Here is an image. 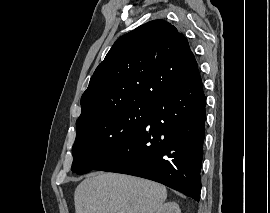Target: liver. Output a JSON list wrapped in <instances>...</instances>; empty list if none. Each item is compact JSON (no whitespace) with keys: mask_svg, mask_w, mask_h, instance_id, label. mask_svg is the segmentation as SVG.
Listing matches in <instances>:
<instances>
[{"mask_svg":"<svg viewBox=\"0 0 270 213\" xmlns=\"http://www.w3.org/2000/svg\"><path fill=\"white\" fill-rule=\"evenodd\" d=\"M166 198L165 186L116 173H92L74 193L76 213H156Z\"/></svg>","mask_w":270,"mask_h":213,"instance_id":"obj_1","label":"liver"}]
</instances>
